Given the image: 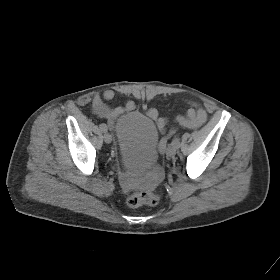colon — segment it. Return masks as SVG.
Wrapping results in <instances>:
<instances>
[{
  "label": "colon",
  "instance_id": "1",
  "mask_svg": "<svg viewBox=\"0 0 280 280\" xmlns=\"http://www.w3.org/2000/svg\"><path fill=\"white\" fill-rule=\"evenodd\" d=\"M159 195L153 190H146L130 194L126 198V204L129 207H139L141 205L154 206L159 202Z\"/></svg>",
  "mask_w": 280,
  "mask_h": 280
}]
</instances>
